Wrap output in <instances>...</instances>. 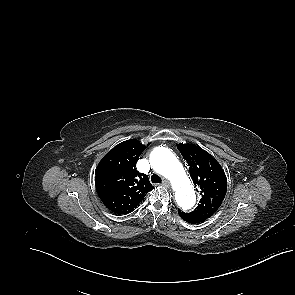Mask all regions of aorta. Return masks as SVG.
I'll list each match as a JSON object with an SVG mask.
<instances>
[{"label": "aorta", "instance_id": "762f6f07", "mask_svg": "<svg viewBox=\"0 0 295 295\" xmlns=\"http://www.w3.org/2000/svg\"><path fill=\"white\" fill-rule=\"evenodd\" d=\"M154 170L166 177L175 190V200L182 210H190L196 203V195L191 180L180 161L167 148L157 147L150 155Z\"/></svg>", "mask_w": 295, "mask_h": 295}]
</instances>
